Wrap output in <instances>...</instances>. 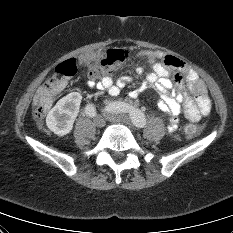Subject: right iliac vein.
Segmentation results:
<instances>
[{"label": "right iliac vein", "instance_id": "1", "mask_svg": "<svg viewBox=\"0 0 233 233\" xmlns=\"http://www.w3.org/2000/svg\"><path fill=\"white\" fill-rule=\"evenodd\" d=\"M94 124L98 127V128H102L105 125V118L101 115H97L94 118Z\"/></svg>", "mask_w": 233, "mask_h": 233}]
</instances>
